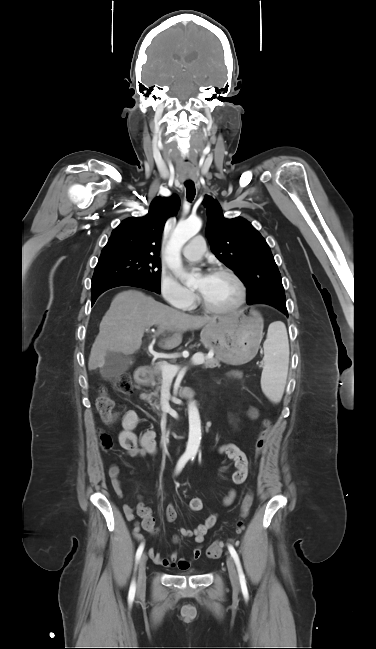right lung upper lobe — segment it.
I'll use <instances>...</instances> for the list:
<instances>
[{
	"label": "right lung upper lobe",
	"instance_id": "1",
	"mask_svg": "<svg viewBox=\"0 0 376 649\" xmlns=\"http://www.w3.org/2000/svg\"><path fill=\"white\" fill-rule=\"evenodd\" d=\"M180 206L176 195L157 197L144 217L127 218L113 230L101 254L142 252L159 254L161 235L166 220L177 214Z\"/></svg>",
	"mask_w": 376,
	"mask_h": 649
}]
</instances>
